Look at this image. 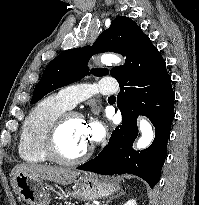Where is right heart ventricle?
I'll list each match as a JSON object with an SVG mask.
<instances>
[{"mask_svg":"<svg viewBox=\"0 0 199 205\" xmlns=\"http://www.w3.org/2000/svg\"><path fill=\"white\" fill-rule=\"evenodd\" d=\"M68 109L59 94L44 98L33 108L20 134L18 153L22 160L32 164L50 161L42 149L43 136L51 122Z\"/></svg>","mask_w":199,"mask_h":205,"instance_id":"right-heart-ventricle-1","label":"right heart ventricle"}]
</instances>
